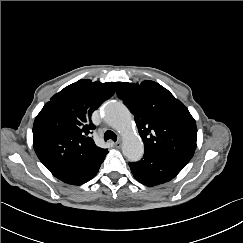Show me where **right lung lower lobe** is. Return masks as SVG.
I'll return each instance as SVG.
<instances>
[{
	"label": "right lung lower lobe",
	"mask_w": 243,
	"mask_h": 243,
	"mask_svg": "<svg viewBox=\"0 0 243 243\" xmlns=\"http://www.w3.org/2000/svg\"><path fill=\"white\" fill-rule=\"evenodd\" d=\"M105 156L106 154L93 160L66 166L52 172V174L65 183L81 185L91 180L97 174Z\"/></svg>",
	"instance_id": "1"
}]
</instances>
